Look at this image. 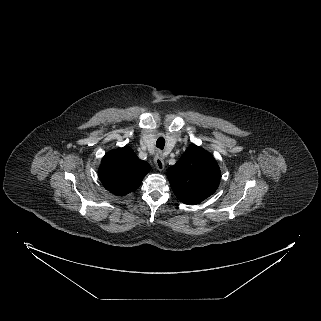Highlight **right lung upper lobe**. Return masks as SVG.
I'll return each mask as SVG.
<instances>
[{
  "label": "right lung upper lobe",
  "instance_id": "cb5924a9",
  "mask_svg": "<svg viewBox=\"0 0 321 321\" xmlns=\"http://www.w3.org/2000/svg\"><path fill=\"white\" fill-rule=\"evenodd\" d=\"M149 171L150 165L126 146L112 150L103 157L98 175L108 191L125 196L140 186Z\"/></svg>",
  "mask_w": 321,
  "mask_h": 321
}]
</instances>
